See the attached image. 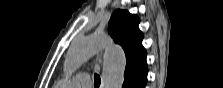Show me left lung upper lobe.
<instances>
[{
  "instance_id": "obj_1",
  "label": "left lung upper lobe",
  "mask_w": 223,
  "mask_h": 88,
  "mask_svg": "<svg viewBox=\"0 0 223 88\" xmlns=\"http://www.w3.org/2000/svg\"><path fill=\"white\" fill-rule=\"evenodd\" d=\"M139 22L136 15L123 10H116L109 21V34L125 51V70L146 64V50L142 46L143 33L138 28Z\"/></svg>"
}]
</instances>
